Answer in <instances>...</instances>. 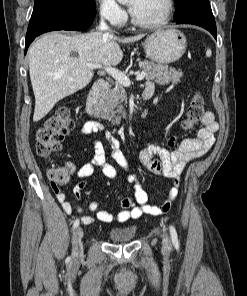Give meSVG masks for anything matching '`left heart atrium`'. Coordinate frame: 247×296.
<instances>
[{"label":"left heart atrium","mask_w":247,"mask_h":296,"mask_svg":"<svg viewBox=\"0 0 247 296\" xmlns=\"http://www.w3.org/2000/svg\"><path fill=\"white\" fill-rule=\"evenodd\" d=\"M130 10H131V12H132V14H133V12H134V10H135V6H134L133 4H131Z\"/></svg>","instance_id":"39dd6f15"}]
</instances>
